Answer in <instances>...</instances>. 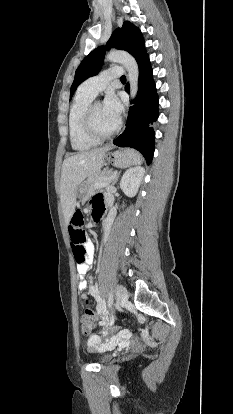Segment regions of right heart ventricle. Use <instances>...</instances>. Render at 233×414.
I'll return each mask as SVG.
<instances>
[{"mask_svg": "<svg viewBox=\"0 0 233 414\" xmlns=\"http://www.w3.org/2000/svg\"><path fill=\"white\" fill-rule=\"evenodd\" d=\"M93 97L83 92L77 91L71 104L68 114V132L71 146L74 150L85 151L93 148L98 141L90 139L82 129V117L85 109L91 103Z\"/></svg>", "mask_w": 233, "mask_h": 414, "instance_id": "right-heart-ventricle-1", "label": "right heart ventricle"}]
</instances>
